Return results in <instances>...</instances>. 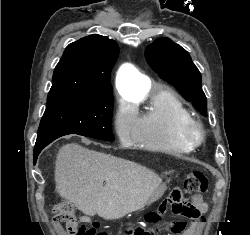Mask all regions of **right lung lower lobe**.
I'll list each match as a JSON object with an SVG mask.
<instances>
[{"instance_id":"obj_1","label":"right lung lower lobe","mask_w":250,"mask_h":235,"mask_svg":"<svg viewBox=\"0 0 250 235\" xmlns=\"http://www.w3.org/2000/svg\"><path fill=\"white\" fill-rule=\"evenodd\" d=\"M69 133L63 132V131H54V132H48L44 133L42 135L37 136L36 144L34 147V164L36 163L37 157L41 150L46 147L48 144H50L55 139L67 135Z\"/></svg>"}]
</instances>
